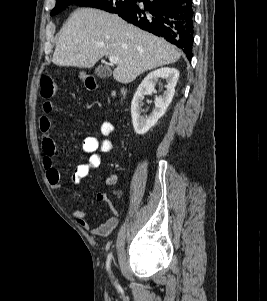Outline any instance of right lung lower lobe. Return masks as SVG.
<instances>
[{"label":"right lung lower lobe","mask_w":267,"mask_h":301,"mask_svg":"<svg viewBox=\"0 0 267 301\" xmlns=\"http://www.w3.org/2000/svg\"><path fill=\"white\" fill-rule=\"evenodd\" d=\"M120 17L181 48L190 60L193 43L192 0H138Z\"/></svg>","instance_id":"obj_1"}]
</instances>
